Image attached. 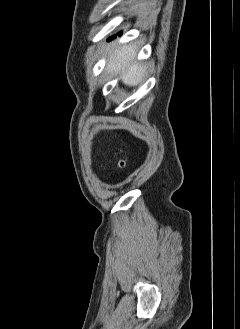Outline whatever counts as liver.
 <instances>
[{
  "mask_svg": "<svg viewBox=\"0 0 240 329\" xmlns=\"http://www.w3.org/2000/svg\"><path fill=\"white\" fill-rule=\"evenodd\" d=\"M110 47L107 48V51ZM137 54L135 44H128L114 50L109 57L106 71L112 75L121 74L124 84L134 86L142 82L145 67L134 61Z\"/></svg>",
  "mask_w": 240,
  "mask_h": 329,
  "instance_id": "obj_1",
  "label": "liver"
}]
</instances>
